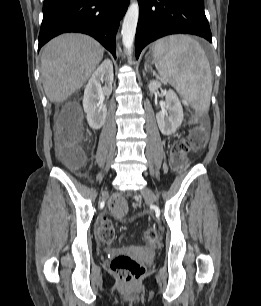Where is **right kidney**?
<instances>
[{"label": "right kidney", "mask_w": 261, "mask_h": 306, "mask_svg": "<svg viewBox=\"0 0 261 306\" xmlns=\"http://www.w3.org/2000/svg\"><path fill=\"white\" fill-rule=\"evenodd\" d=\"M113 77V64L109 59H105L85 87L83 108L87 114V122L94 130L104 125L107 107L103 101L105 96H109L112 92ZM103 82L105 85L102 87Z\"/></svg>", "instance_id": "obj_1"}]
</instances>
